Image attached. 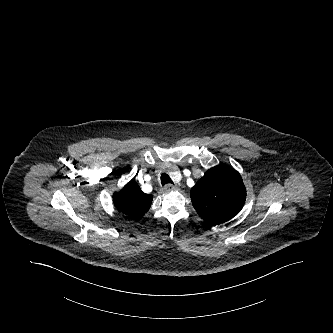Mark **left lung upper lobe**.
I'll return each mask as SVG.
<instances>
[{"label": "left lung upper lobe", "mask_w": 333, "mask_h": 333, "mask_svg": "<svg viewBox=\"0 0 333 333\" xmlns=\"http://www.w3.org/2000/svg\"><path fill=\"white\" fill-rule=\"evenodd\" d=\"M193 207L208 224L227 222L242 209L246 189L240 174L227 165L209 169L190 192Z\"/></svg>", "instance_id": "5c2ea615"}]
</instances>
